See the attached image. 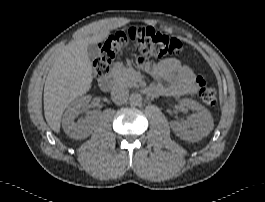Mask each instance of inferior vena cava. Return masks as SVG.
Returning a JSON list of instances; mask_svg holds the SVG:
<instances>
[{
    "label": "inferior vena cava",
    "mask_w": 265,
    "mask_h": 202,
    "mask_svg": "<svg viewBox=\"0 0 265 202\" xmlns=\"http://www.w3.org/2000/svg\"><path fill=\"white\" fill-rule=\"evenodd\" d=\"M129 97V90L121 85L113 87L111 91V98L114 103L121 105L127 102Z\"/></svg>",
    "instance_id": "obj_1"
}]
</instances>
